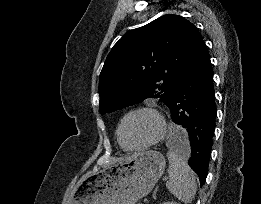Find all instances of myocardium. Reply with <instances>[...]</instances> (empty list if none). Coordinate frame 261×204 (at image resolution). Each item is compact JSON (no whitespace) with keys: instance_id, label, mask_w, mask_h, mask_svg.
Masks as SVG:
<instances>
[{"instance_id":"1","label":"myocardium","mask_w":261,"mask_h":204,"mask_svg":"<svg viewBox=\"0 0 261 204\" xmlns=\"http://www.w3.org/2000/svg\"><path fill=\"white\" fill-rule=\"evenodd\" d=\"M142 113H146V114H149L152 117H154V119L156 120L157 125H158L157 133L153 138H151L150 140H148L147 142H145L141 145H137V146L126 145L122 139V129L124 127V124L130 117L137 115V114H142ZM166 130H167V123H166V119H165L164 115L162 114V112L159 109H157L155 106L143 105V106H139V107H136V108L128 111L123 116V118L121 119V121L119 123L118 129H117V139H118L119 144L125 150L141 151V150L148 149L149 147L159 143L164 138V136L166 134Z\"/></svg>"}]
</instances>
